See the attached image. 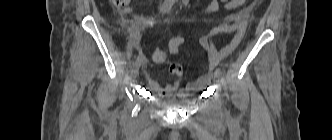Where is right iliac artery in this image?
<instances>
[{"label": "right iliac artery", "instance_id": "right-iliac-artery-1", "mask_svg": "<svg viewBox=\"0 0 332 140\" xmlns=\"http://www.w3.org/2000/svg\"><path fill=\"white\" fill-rule=\"evenodd\" d=\"M175 3V0H165L164 3L160 7V13L165 14L167 13ZM144 59V55L139 53L137 56V61H142Z\"/></svg>", "mask_w": 332, "mask_h": 140}]
</instances>
